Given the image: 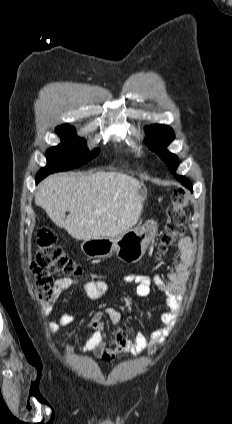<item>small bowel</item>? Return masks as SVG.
<instances>
[{
    "label": "small bowel",
    "instance_id": "small-bowel-1",
    "mask_svg": "<svg viewBox=\"0 0 232 424\" xmlns=\"http://www.w3.org/2000/svg\"><path fill=\"white\" fill-rule=\"evenodd\" d=\"M179 260L173 265L167 274V280L159 276L153 278L141 273L131 272L125 276V281L136 286V294L139 297H147L151 294V285L154 284L166 298V310L154 314V320L158 327L150 337L138 331L134 339L129 338L126 330L120 327L121 313L114 307H105L103 310L94 312L87 324V328L93 330L87 341L81 348V352H91L97 358L112 362L127 354H140L146 350H154L162 345L175 325L176 317L181 309L184 293L190 279V270L194 262V245L189 237L179 241ZM77 282L71 278L58 280L54 286L55 296L58 297L63 291L73 287ZM85 294L91 299L100 298L107 290V284L103 280L88 281L82 285ZM107 316L115 328L113 346L109 347L103 337V317ZM76 316L69 313H60L55 321L50 322L52 331L73 324Z\"/></svg>",
    "mask_w": 232,
    "mask_h": 424
}]
</instances>
